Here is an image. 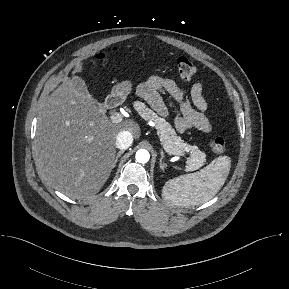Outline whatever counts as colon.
I'll return each instance as SVG.
<instances>
[{"instance_id": "obj_1", "label": "colon", "mask_w": 289, "mask_h": 289, "mask_svg": "<svg viewBox=\"0 0 289 289\" xmlns=\"http://www.w3.org/2000/svg\"><path fill=\"white\" fill-rule=\"evenodd\" d=\"M175 64L179 76L183 79H191L196 73L195 65L185 56L177 57ZM209 145L212 151L217 154H221L226 150L225 140L221 137L211 139Z\"/></svg>"}]
</instances>
